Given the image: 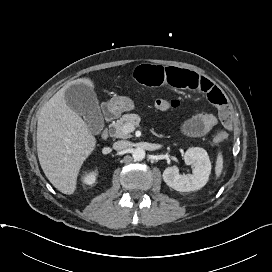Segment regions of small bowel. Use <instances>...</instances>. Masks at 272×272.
Here are the masks:
<instances>
[{
    "mask_svg": "<svg viewBox=\"0 0 272 272\" xmlns=\"http://www.w3.org/2000/svg\"><path fill=\"white\" fill-rule=\"evenodd\" d=\"M134 79L145 86L170 85L203 92L219 110V117L209 113H198L181 126L185 135L200 137L207 134L220 121L224 127H231V110L222 91L206 78L186 69L143 64L136 67Z\"/></svg>",
    "mask_w": 272,
    "mask_h": 272,
    "instance_id": "small-bowel-1",
    "label": "small bowel"
}]
</instances>
